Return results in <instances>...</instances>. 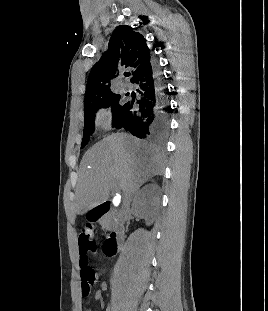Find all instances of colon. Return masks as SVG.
<instances>
[{
  "label": "colon",
  "mask_w": 268,
  "mask_h": 311,
  "mask_svg": "<svg viewBox=\"0 0 268 311\" xmlns=\"http://www.w3.org/2000/svg\"><path fill=\"white\" fill-rule=\"evenodd\" d=\"M92 236V226L86 225L81 230L78 242L80 252V275L82 280V291L85 296L88 295L91 287L97 281L96 271L89 266L90 257L96 255L97 253V244L93 240Z\"/></svg>",
  "instance_id": "1"
}]
</instances>
